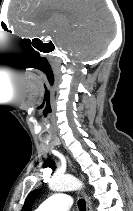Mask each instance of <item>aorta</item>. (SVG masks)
<instances>
[{
  "label": "aorta",
  "mask_w": 133,
  "mask_h": 211,
  "mask_svg": "<svg viewBox=\"0 0 133 211\" xmlns=\"http://www.w3.org/2000/svg\"><path fill=\"white\" fill-rule=\"evenodd\" d=\"M52 191H72L83 187L81 181L71 175H57L49 181Z\"/></svg>",
  "instance_id": "obj_1"
}]
</instances>
